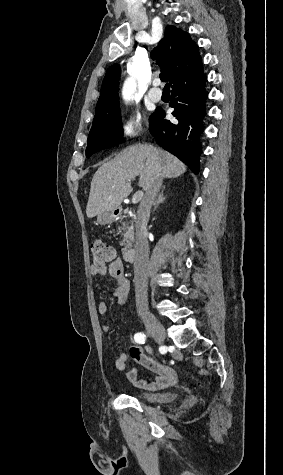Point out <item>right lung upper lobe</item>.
Listing matches in <instances>:
<instances>
[{
  "label": "right lung upper lobe",
  "instance_id": "1",
  "mask_svg": "<svg viewBox=\"0 0 283 475\" xmlns=\"http://www.w3.org/2000/svg\"><path fill=\"white\" fill-rule=\"evenodd\" d=\"M151 57L162 69L160 76L165 77L171 85L203 67L198 46L187 32L172 25L165 28L164 38L152 50ZM120 73L119 65L107 69L96 108L119 105Z\"/></svg>",
  "mask_w": 283,
  "mask_h": 475
}]
</instances>
